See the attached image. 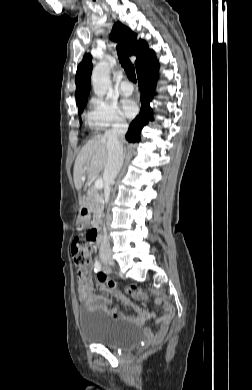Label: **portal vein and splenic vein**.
I'll use <instances>...</instances> for the list:
<instances>
[{"label": "portal vein and splenic vein", "instance_id": "portal-vein-and-splenic-vein-1", "mask_svg": "<svg viewBox=\"0 0 252 390\" xmlns=\"http://www.w3.org/2000/svg\"><path fill=\"white\" fill-rule=\"evenodd\" d=\"M103 187V180L102 179H97L94 182V188L95 189H101Z\"/></svg>", "mask_w": 252, "mask_h": 390}]
</instances>
